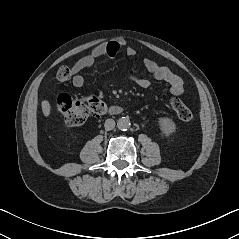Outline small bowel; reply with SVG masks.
<instances>
[{
  "label": "small bowel",
  "mask_w": 239,
  "mask_h": 239,
  "mask_svg": "<svg viewBox=\"0 0 239 239\" xmlns=\"http://www.w3.org/2000/svg\"><path fill=\"white\" fill-rule=\"evenodd\" d=\"M124 45L125 41L123 39H116L109 43L98 45L89 54L80 58L71 69L73 74L72 84L77 88L83 87L85 80L79 73L85 68L91 67L99 57H115L120 48ZM126 54L129 57H133L136 55V50L132 47H128L126 49ZM144 65L156 80L169 84L170 91L173 95H180L183 93L184 84L182 79L167 67L158 64L152 59H145ZM130 78L141 88H148L150 86V81L146 78H140L135 75H131Z\"/></svg>",
  "instance_id": "small-bowel-1"
}]
</instances>
